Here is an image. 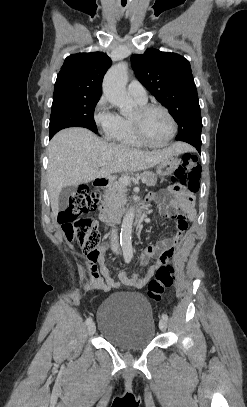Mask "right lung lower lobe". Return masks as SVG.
I'll return each instance as SVG.
<instances>
[{"label":"right lung lower lobe","instance_id":"1","mask_svg":"<svg viewBox=\"0 0 247 407\" xmlns=\"http://www.w3.org/2000/svg\"><path fill=\"white\" fill-rule=\"evenodd\" d=\"M52 137H53V136H51V135L49 136V138H52Z\"/></svg>","mask_w":247,"mask_h":407}]
</instances>
